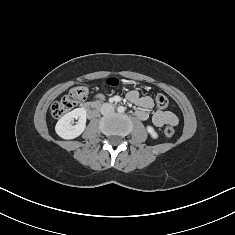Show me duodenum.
I'll return each mask as SVG.
<instances>
[{"label": "duodenum", "instance_id": "410a0bca", "mask_svg": "<svg viewBox=\"0 0 235 235\" xmlns=\"http://www.w3.org/2000/svg\"><path fill=\"white\" fill-rule=\"evenodd\" d=\"M106 104H102V103H95V102H93V103H88V104H86L85 106H84V110L86 111V113H87V116L89 117V118H93V117H95L97 114H98V112H99V110L101 109V107H103V106H105ZM109 106H113V105H115V103H110V104H108Z\"/></svg>", "mask_w": 235, "mask_h": 235}]
</instances>
